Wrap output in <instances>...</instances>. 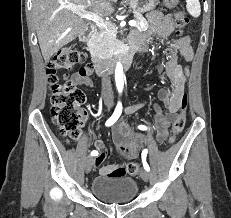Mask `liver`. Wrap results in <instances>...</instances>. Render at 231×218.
Wrapping results in <instances>:
<instances>
[{"mask_svg": "<svg viewBox=\"0 0 231 218\" xmlns=\"http://www.w3.org/2000/svg\"><path fill=\"white\" fill-rule=\"evenodd\" d=\"M116 1L95 0L90 11L99 16H108L114 11L111 3ZM89 2L91 0L32 1L33 21L45 62H48L59 49L85 32L86 24L83 17L71 11L69 7L86 5Z\"/></svg>", "mask_w": 231, "mask_h": 218, "instance_id": "6515ba94", "label": "liver"}]
</instances>
